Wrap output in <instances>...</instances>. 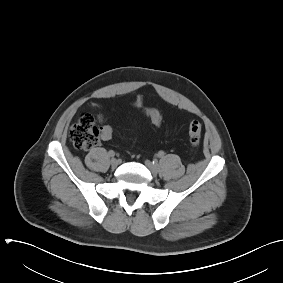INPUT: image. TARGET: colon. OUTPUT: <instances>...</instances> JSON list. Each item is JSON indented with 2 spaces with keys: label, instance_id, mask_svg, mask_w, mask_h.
Returning <instances> with one entry per match:
<instances>
[{
  "label": "colon",
  "instance_id": "colon-1",
  "mask_svg": "<svg viewBox=\"0 0 283 283\" xmlns=\"http://www.w3.org/2000/svg\"><path fill=\"white\" fill-rule=\"evenodd\" d=\"M151 122L159 127L162 124V116L158 110L146 108L143 110ZM189 141L192 147L196 148L201 142L202 127L200 122L192 121L188 127ZM114 137V130L110 125H103L98 128L95 125L93 116L89 113H83L78 121L74 123L69 130V138L73 146L77 149L87 150L99 142L100 139L110 141Z\"/></svg>",
  "mask_w": 283,
  "mask_h": 283
}]
</instances>
